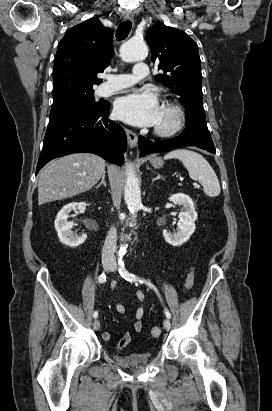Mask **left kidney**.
Instances as JSON below:
<instances>
[{
    "label": "left kidney",
    "instance_id": "left-kidney-1",
    "mask_svg": "<svg viewBox=\"0 0 272 411\" xmlns=\"http://www.w3.org/2000/svg\"><path fill=\"white\" fill-rule=\"evenodd\" d=\"M170 201L177 205L183 206V211L179 213V223L177 232L171 233L164 230L163 236L167 243L172 246H179L187 242L195 231V220L197 212L195 211L192 199L183 193H177L169 198Z\"/></svg>",
    "mask_w": 272,
    "mask_h": 411
}]
</instances>
